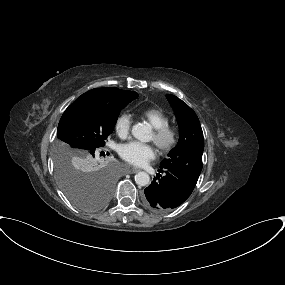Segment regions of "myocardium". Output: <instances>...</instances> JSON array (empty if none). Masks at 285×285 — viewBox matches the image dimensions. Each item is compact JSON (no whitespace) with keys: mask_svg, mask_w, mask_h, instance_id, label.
Returning a JSON list of instances; mask_svg holds the SVG:
<instances>
[{"mask_svg":"<svg viewBox=\"0 0 285 285\" xmlns=\"http://www.w3.org/2000/svg\"><path fill=\"white\" fill-rule=\"evenodd\" d=\"M178 140L177 129L169 124L153 130V141L162 153L171 152L176 147Z\"/></svg>","mask_w":285,"mask_h":285,"instance_id":"obj_1","label":"myocardium"}]
</instances>
